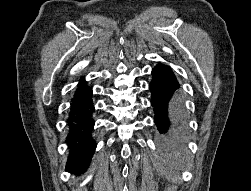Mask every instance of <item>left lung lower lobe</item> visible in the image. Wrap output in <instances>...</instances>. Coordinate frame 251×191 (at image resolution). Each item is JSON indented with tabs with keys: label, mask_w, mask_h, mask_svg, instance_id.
I'll return each instance as SVG.
<instances>
[{
	"label": "left lung lower lobe",
	"mask_w": 251,
	"mask_h": 191,
	"mask_svg": "<svg viewBox=\"0 0 251 191\" xmlns=\"http://www.w3.org/2000/svg\"><path fill=\"white\" fill-rule=\"evenodd\" d=\"M149 87L154 121L162 134V150L167 155L176 154L183 147L180 130L184 125V111L178 91L180 84L170 67L158 64L152 70Z\"/></svg>",
	"instance_id": "1"
}]
</instances>
